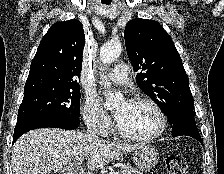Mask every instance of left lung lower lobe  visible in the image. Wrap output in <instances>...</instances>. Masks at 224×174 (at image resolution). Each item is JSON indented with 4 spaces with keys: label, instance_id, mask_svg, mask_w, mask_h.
<instances>
[{
    "label": "left lung lower lobe",
    "instance_id": "left-lung-lower-lobe-1",
    "mask_svg": "<svg viewBox=\"0 0 224 174\" xmlns=\"http://www.w3.org/2000/svg\"><path fill=\"white\" fill-rule=\"evenodd\" d=\"M171 126L173 136H191L203 145V141L196 126L193 111L180 112L171 123Z\"/></svg>",
    "mask_w": 224,
    "mask_h": 174
}]
</instances>
